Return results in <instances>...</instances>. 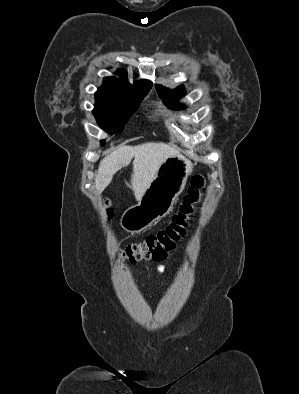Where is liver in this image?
<instances>
[{"instance_id":"6515ba94","label":"liver","mask_w":299,"mask_h":394,"mask_svg":"<svg viewBox=\"0 0 299 394\" xmlns=\"http://www.w3.org/2000/svg\"><path fill=\"white\" fill-rule=\"evenodd\" d=\"M177 149L162 142H147L136 146H122L100 161L95 177V188L101 193L112 181L114 174L133 160L130 187L140 201L152 182L160 165L177 155Z\"/></svg>"}]
</instances>
